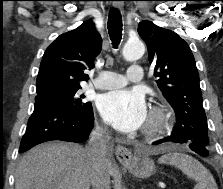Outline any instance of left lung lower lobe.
Segmentation results:
<instances>
[{
	"instance_id": "1",
	"label": "left lung lower lobe",
	"mask_w": 223,
	"mask_h": 189,
	"mask_svg": "<svg viewBox=\"0 0 223 189\" xmlns=\"http://www.w3.org/2000/svg\"><path fill=\"white\" fill-rule=\"evenodd\" d=\"M168 141L174 142L173 140H171V139H169L167 137L166 139H162V140L156 141L153 144L154 145H158V144H161L163 142H168ZM189 147H190L191 150H193L194 152H196L197 154H199V155H201L203 157H206V156L209 155L207 147L199 146V145H196L194 143H190Z\"/></svg>"
}]
</instances>
